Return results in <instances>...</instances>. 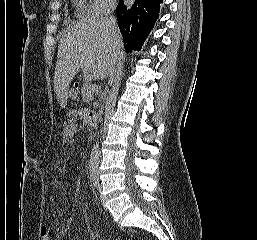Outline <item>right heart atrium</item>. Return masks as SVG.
<instances>
[{"label":"right heart atrium","instance_id":"obj_1","mask_svg":"<svg viewBox=\"0 0 257 240\" xmlns=\"http://www.w3.org/2000/svg\"><path fill=\"white\" fill-rule=\"evenodd\" d=\"M115 6V0H92L88 13L100 16L109 13Z\"/></svg>","mask_w":257,"mask_h":240}]
</instances>
